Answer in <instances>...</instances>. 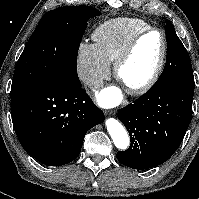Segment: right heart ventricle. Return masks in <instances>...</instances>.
<instances>
[{"label": "right heart ventricle", "instance_id": "obj_1", "mask_svg": "<svg viewBox=\"0 0 199 199\" xmlns=\"http://www.w3.org/2000/svg\"><path fill=\"white\" fill-rule=\"evenodd\" d=\"M150 27L149 23L138 18L112 19L95 29L93 40L103 57L109 63H114L127 43L135 35Z\"/></svg>", "mask_w": 199, "mask_h": 199}]
</instances>
